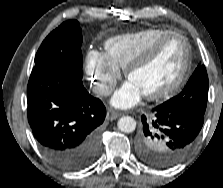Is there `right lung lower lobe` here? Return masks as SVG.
Instances as JSON below:
<instances>
[{"instance_id": "1", "label": "right lung lower lobe", "mask_w": 223, "mask_h": 188, "mask_svg": "<svg viewBox=\"0 0 223 188\" xmlns=\"http://www.w3.org/2000/svg\"><path fill=\"white\" fill-rule=\"evenodd\" d=\"M27 103L33 135L52 164L78 171L98 157L106 108L83 83L58 71H32Z\"/></svg>"}]
</instances>
